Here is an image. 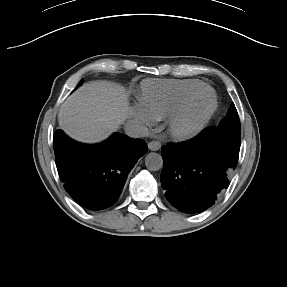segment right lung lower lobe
<instances>
[{"label": "right lung lower lobe", "instance_id": "98d812e1", "mask_svg": "<svg viewBox=\"0 0 287 287\" xmlns=\"http://www.w3.org/2000/svg\"><path fill=\"white\" fill-rule=\"evenodd\" d=\"M148 147L142 139L115 133L102 143L86 145L54 134L56 166L64 188L80 205L106 209L120 196L128 173Z\"/></svg>", "mask_w": 287, "mask_h": 287}]
</instances>
